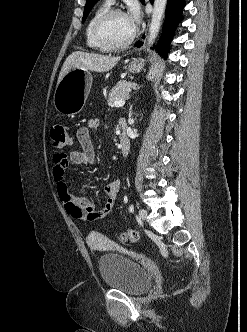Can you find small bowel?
I'll return each mask as SVG.
<instances>
[{"instance_id": "1", "label": "small bowel", "mask_w": 247, "mask_h": 332, "mask_svg": "<svg viewBox=\"0 0 247 332\" xmlns=\"http://www.w3.org/2000/svg\"><path fill=\"white\" fill-rule=\"evenodd\" d=\"M99 126L97 118L89 119L87 124L81 127L77 133V139L81 150L73 149L68 155L56 153L54 155V166L52 170L53 180L57 192L66 212L74 219L80 221H95L108 214L117 198L120 190V181L114 180L106 188V200L101 207H96L88 197L73 195L65 179V170L69 163L77 165L94 166L96 156L91 142V132Z\"/></svg>"}]
</instances>
